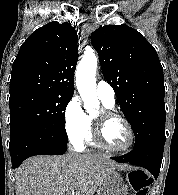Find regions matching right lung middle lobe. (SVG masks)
<instances>
[{"instance_id":"right-lung-middle-lobe-1","label":"right lung middle lobe","mask_w":178,"mask_h":195,"mask_svg":"<svg viewBox=\"0 0 178 195\" xmlns=\"http://www.w3.org/2000/svg\"><path fill=\"white\" fill-rule=\"evenodd\" d=\"M73 95L26 91L9 98L10 130L53 128L67 138L65 109Z\"/></svg>"}]
</instances>
